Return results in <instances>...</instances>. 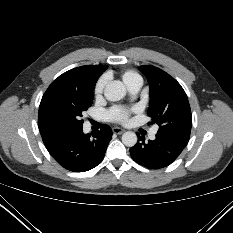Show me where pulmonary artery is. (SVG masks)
I'll list each match as a JSON object with an SVG mask.
<instances>
[{
  "label": "pulmonary artery",
  "mask_w": 233,
  "mask_h": 233,
  "mask_svg": "<svg viewBox=\"0 0 233 233\" xmlns=\"http://www.w3.org/2000/svg\"><path fill=\"white\" fill-rule=\"evenodd\" d=\"M141 85H142V80L141 79H138L136 81H134L133 83H131L128 87L129 91L132 93V94H136L140 88H141ZM157 131H158V127H155L152 129V131L150 132V138L151 139H155V136L157 134Z\"/></svg>",
  "instance_id": "e3ab8cb5"
}]
</instances>
